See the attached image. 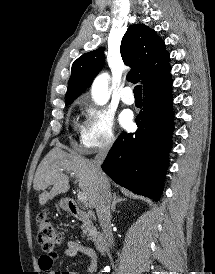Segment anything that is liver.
I'll use <instances>...</instances> for the list:
<instances>
[{
	"instance_id": "obj_1",
	"label": "liver",
	"mask_w": 215,
	"mask_h": 274,
	"mask_svg": "<svg viewBox=\"0 0 215 274\" xmlns=\"http://www.w3.org/2000/svg\"><path fill=\"white\" fill-rule=\"evenodd\" d=\"M63 172H70L79 181V187L87 196L88 206L94 208L98 195V180L93 162L78 155L69 154L59 147L53 148L41 161L35 173L33 188L42 191L39 195L40 205L69 191V178ZM106 177V176H105ZM107 183L109 179L106 177ZM53 185L50 192L46 191Z\"/></svg>"
}]
</instances>
